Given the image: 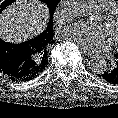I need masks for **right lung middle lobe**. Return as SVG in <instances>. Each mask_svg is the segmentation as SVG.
I'll list each match as a JSON object with an SVG mask.
<instances>
[{"instance_id":"dd1d6c3e","label":"right lung middle lobe","mask_w":118,"mask_h":118,"mask_svg":"<svg viewBox=\"0 0 118 118\" xmlns=\"http://www.w3.org/2000/svg\"><path fill=\"white\" fill-rule=\"evenodd\" d=\"M14 1L15 0H5L0 5V13L6 8V6L10 5ZM40 1L44 2L47 5V7L49 8L50 19H52L54 11H55L57 4L59 3L60 0H40Z\"/></svg>"}]
</instances>
